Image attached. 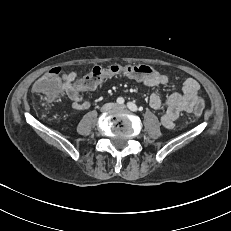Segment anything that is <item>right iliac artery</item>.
Masks as SVG:
<instances>
[{"mask_svg": "<svg viewBox=\"0 0 231 231\" xmlns=\"http://www.w3.org/2000/svg\"><path fill=\"white\" fill-rule=\"evenodd\" d=\"M117 103H118V104H124V99H123L122 97H119V98L117 99Z\"/></svg>", "mask_w": 231, "mask_h": 231, "instance_id": "obj_1", "label": "right iliac artery"}]
</instances>
